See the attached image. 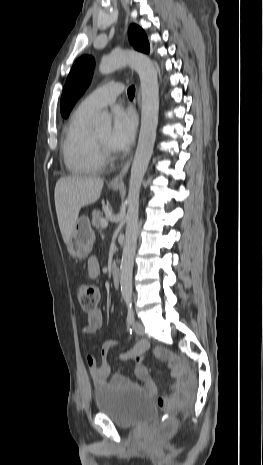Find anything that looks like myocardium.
Listing matches in <instances>:
<instances>
[{
	"label": "myocardium",
	"instance_id": "myocardium-1",
	"mask_svg": "<svg viewBox=\"0 0 263 465\" xmlns=\"http://www.w3.org/2000/svg\"><path fill=\"white\" fill-rule=\"evenodd\" d=\"M93 139L103 159L104 160L112 159L113 153L110 147L105 145L103 142H101L96 136H93Z\"/></svg>",
	"mask_w": 263,
	"mask_h": 465
}]
</instances>
